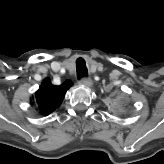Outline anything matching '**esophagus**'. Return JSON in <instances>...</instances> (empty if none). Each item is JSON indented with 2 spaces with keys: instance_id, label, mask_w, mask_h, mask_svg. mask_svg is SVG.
Masks as SVG:
<instances>
[{
  "instance_id": "34e87169",
  "label": "esophagus",
  "mask_w": 164,
  "mask_h": 164,
  "mask_svg": "<svg viewBox=\"0 0 164 164\" xmlns=\"http://www.w3.org/2000/svg\"><path fill=\"white\" fill-rule=\"evenodd\" d=\"M79 83L81 85L86 86V87H90V86H92L93 81L90 78L83 77V78L80 79Z\"/></svg>"
}]
</instances>
